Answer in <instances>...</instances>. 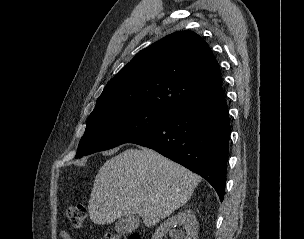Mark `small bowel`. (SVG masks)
I'll use <instances>...</instances> for the list:
<instances>
[{
    "label": "small bowel",
    "mask_w": 304,
    "mask_h": 239,
    "mask_svg": "<svg viewBox=\"0 0 304 239\" xmlns=\"http://www.w3.org/2000/svg\"><path fill=\"white\" fill-rule=\"evenodd\" d=\"M60 236H61L62 239H72L71 235L66 230H61L60 231Z\"/></svg>",
    "instance_id": "obj_1"
}]
</instances>
